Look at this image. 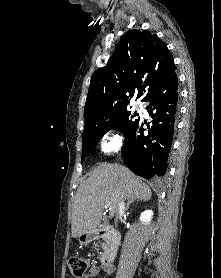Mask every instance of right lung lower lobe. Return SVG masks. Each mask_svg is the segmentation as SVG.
Here are the masks:
<instances>
[{
  "instance_id": "obj_1",
  "label": "right lung lower lobe",
  "mask_w": 221,
  "mask_h": 278,
  "mask_svg": "<svg viewBox=\"0 0 221 278\" xmlns=\"http://www.w3.org/2000/svg\"><path fill=\"white\" fill-rule=\"evenodd\" d=\"M177 90L176 73L150 90L143 101L149 102L152 128L146 133L140 119L125 136L121 152L136 175L149 179L166 173L178 114Z\"/></svg>"
}]
</instances>
